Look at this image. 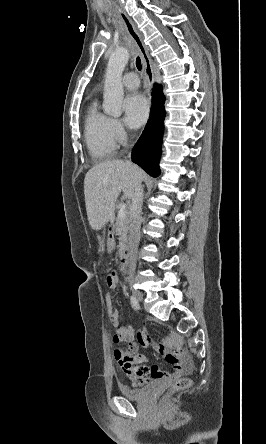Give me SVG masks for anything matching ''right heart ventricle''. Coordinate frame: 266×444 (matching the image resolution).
Returning a JSON list of instances; mask_svg holds the SVG:
<instances>
[{
  "label": "right heart ventricle",
  "mask_w": 266,
  "mask_h": 444,
  "mask_svg": "<svg viewBox=\"0 0 266 444\" xmlns=\"http://www.w3.org/2000/svg\"><path fill=\"white\" fill-rule=\"evenodd\" d=\"M84 138L89 153L95 159L103 160L114 156L116 139L111 118L99 111L96 101L89 105L85 115Z\"/></svg>",
  "instance_id": "1"
}]
</instances>
